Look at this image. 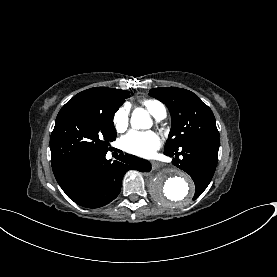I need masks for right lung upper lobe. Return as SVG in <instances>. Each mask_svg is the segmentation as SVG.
<instances>
[{"instance_id": "cb5924a9", "label": "right lung upper lobe", "mask_w": 277, "mask_h": 277, "mask_svg": "<svg viewBox=\"0 0 277 277\" xmlns=\"http://www.w3.org/2000/svg\"><path fill=\"white\" fill-rule=\"evenodd\" d=\"M128 96L129 92L125 90L95 87L78 93L66 104L82 103L104 111H117Z\"/></svg>"}]
</instances>
